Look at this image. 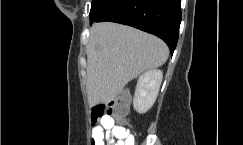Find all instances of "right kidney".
<instances>
[{
	"instance_id": "1",
	"label": "right kidney",
	"mask_w": 243,
	"mask_h": 145,
	"mask_svg": "<svg viewBox=\"0 0 243 145\" xmlns=\"http://www.w3.org/2000/svg\"><path fill=\"white\" fill-rule=\"evenodd\" d=\"M162 78L163 73L158 69L149 70L139 77L133 99V107L138 113H145L153 106Z\"/></svg>"
}]
</instances>
